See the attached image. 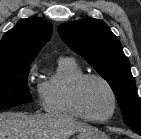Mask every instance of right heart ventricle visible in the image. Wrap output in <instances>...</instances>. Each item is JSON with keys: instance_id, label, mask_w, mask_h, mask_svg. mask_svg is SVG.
<instances>
[{"instance_id": "obj_1", "label": "right heart ventricle", "mask_w": 141, "mask_h": 139, "mask_svg": "<svg viewBox=\"0 0 141 139\" xmlns=\"http://www.w3.org/2000/svg\"><path fill=\"white\" fill-rule=\"evenodd\" d=\"M83 74L75 59L60 58L55 71L39 84L44 110L55 115L82 118L74 107L71 90L74 82Z\"/></svg>"}]
</instances>
